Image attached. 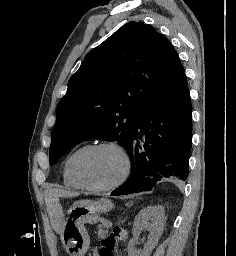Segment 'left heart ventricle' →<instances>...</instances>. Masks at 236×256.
Returning a JSON list of instances; mask_svg holds the SVG:
<instances>
[{"label": "left heart ventricle", "instance_id": "obj_1", "mask_svg": "<svg viewBox=\"0 0 236 256\" xmlns=\"http://www.w3.org/2000/svg\"><path fill=\"white\" fill-rule=\"evenodd\" d=\"M124 163L121 154L113 148H104L92 154L85 164V176L94 187H107L121 177Z\"/></svg>", "mask_w": 236, "mask_h": 256}]
</instances>
